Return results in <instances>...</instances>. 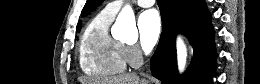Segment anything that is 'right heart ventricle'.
Masks as SVG:
<instances>
[{"label":"right heart ventricle","mask_w":260,"mask_h":84,"mask_svg":"<svg viewBox=\"0 0 260 84\" xmlns=\"http://www.w3.org/2000/svg\"><path fill=\"white\" fill-rule=\"evenodd\" d=\"M114 16L102 10L82 36L79 63L87 76L104 79L125 70L124 45L109 33Z\"/></svg>","instance_id":"right-heart-ventricle-1"}]
</instances>
